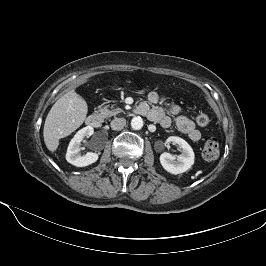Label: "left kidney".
I'll list each match as a JSON object with an SVG mask.
<instances>
[{
    "label": "left kidney",
    "mask_w": 266,
    "mask_h": 266,
    "mask_svg": "<svg viewBox=\"0 0 266 266\" xmlns=\"http://www.w3.org/2000/svg\"><path fill=\"white\" fill-rule=\"evenodd\" d=\"M166 143H173L181 149V155L177 157L170 153L164 152L160 156V163L162 167L169 173L177 175L186 172L194 164V152L192 147L182 138L171 136Z\"/></svg>",
    "instance_id": "1"
}]
</instances>
